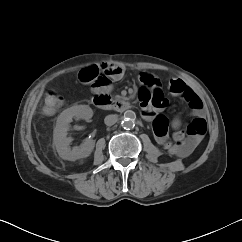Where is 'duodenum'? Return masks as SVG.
I'll return each instance as SVG.
<instances>
[{"label": "duodenum", "instance_id": "1", "mask_svg": "<svg viewBox=\"0 0 242 242\" xmlns=\"http://www.w3.org/2000/svg\"><path fill=\"white\" fill-rule=\"evenodd\" d=\"M92 102L99 109H114L117 111H126L132 108V104L124 99H115L103 91H94Z\"/></svg>", "mask_w": 242, "mask_h": 242}]
</instances>
